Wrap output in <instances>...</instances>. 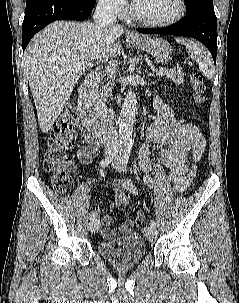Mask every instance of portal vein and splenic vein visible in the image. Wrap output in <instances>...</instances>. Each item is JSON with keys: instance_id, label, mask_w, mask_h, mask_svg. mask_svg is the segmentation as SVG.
<instances>
[{"instance_id": "1", "label": "portal vein and splenic vein", "mask_w": 239, "mask_h": 303, "mask_svg": "<svg viewBox=\"0 0 239 303\" xmlns=\"http://www.w3.org/2000/svg\"><path fill=\"white\" fill-rule=\"evenodd\" d=\"M154 70V69H153ZM167 70L165 68H160L159 72H166Z\"/></svg>"}]
</instances>
